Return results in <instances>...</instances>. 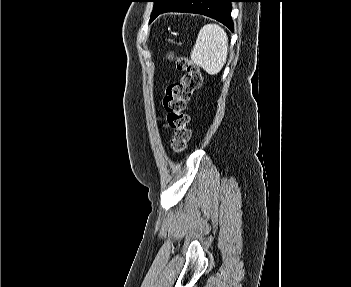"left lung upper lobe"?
Segmentation results:
<instances>
[{"instance_id": "obj_1", "label": "left lung upper lobe", "mask_w": 351, "mask_h": 287, "mask_svg": "<svg viewBox=\"0 0 351 287\" xmlns=\"http://www.w3.org/2000/svg\"><path fill=\"white\" fill-rule=\"evenodd\" d=\"M152 2L155 3L152 15H151V20L153 17L162 9H164L171 1L173 0H151Z\"/></svg>"}]
</instances>
